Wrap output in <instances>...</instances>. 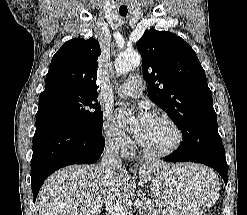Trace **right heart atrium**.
Listing matches in <instances>:
<instances>
[{
  "label": "right heart atrium",
  "mask_w": 247,
  "mask_h": 215,
  "mask_svg": "<svg viewBox=\"0 0 247 215\" xmlns=\"http://www.w3.org/2000/svg\"><path fill=\"white\" fill-rule=\"evenodd\" d=\"M102 135L106 145L121 154H126L131 148V139L121 129L116 127L108 117L102 122Z\"/></svg>",
  "instance_id": "right-heart-atrium-1"
}]
</instances>
